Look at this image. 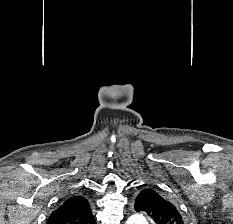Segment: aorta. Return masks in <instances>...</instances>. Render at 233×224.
<instances>
[{"instance_id": "762f6f07", "label": "aorta", "mask_w": 233, "mask_h": 224, "mask_svg": "<svg viewBox=\"0 0 233 224\" xmlns=\"http://www.w3.org/2000/svg\"><path fill=\"white\" fill-rule=\"evenodd\" d=\"M126 224H148V223L143 215L134 214L128 218Z\"/></svg>"}]
</instances>
